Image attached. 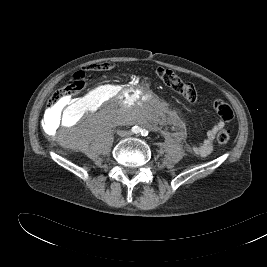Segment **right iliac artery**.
I'll use <instances>...</instances> for the list:
<instances>
[{
    "label": "right iliac artery",
    "instance_id": "obj_1",
    "mask_svg": "<svg viewBox=\"0 0 267 267\" xmlns=\"http://www.w3.org/2000/svg\"><path fill=\"white\" fill-rule=\"evenodd\" d=\"M132 132L133 133H135V134H138V133H140L141 131H142V129L140 128V127H138V126H134V127H132Z\"/></svg>",
    "mask_w": 267,
    "mask_h": 267
}]
</instances>
